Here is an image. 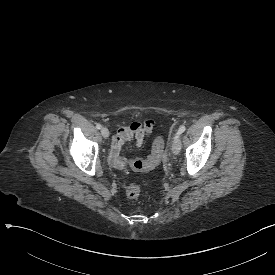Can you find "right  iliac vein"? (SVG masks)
<instances>
[{"mask_svg": "<svg viewBox=\"0 0 275 275\" xmlns=\"http://www.w3.org/2000/svg\"><path fill=\"white\" fill-rule=\"evenodd\" d=\"M101 134L104 138H108L109 137V130L107 128L103 127L101 129Z\"/></svg>", "mask_w": 275, "mask_h": 275, "instance_id": "right-iliac-vein-1", "label": "right iliac vein"}]
</instances>
